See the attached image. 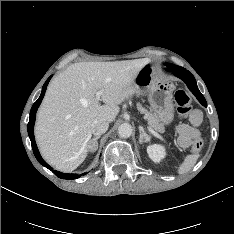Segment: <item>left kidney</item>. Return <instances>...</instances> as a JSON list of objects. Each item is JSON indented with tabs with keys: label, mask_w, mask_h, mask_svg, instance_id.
<instances>
[{
	"label": "left kidney",
	"mask_w": 234,
	"mask_h": 234,
	"mask_svg": "<svg viewBox=\"0 0 234 234\" xmlns=\"http://www.w3.org/2000/svg\"><path fill=\"white\" fill-rule=\"evenodd\" d=\"M147 153L149 158L155 163H159L166 155L165 148L159 144L149 145Z\"/></svg>",
	"instance_id": "5707ae66"
}]
</instances>
